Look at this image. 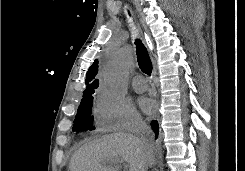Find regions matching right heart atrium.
I'll list each match as a JSON object with an SVG mask.
<instances>
[{
  "instance_id": "d8ad5b80",
  "label": "right heart atrium",
  "mask_w": 245,
  "mask_h": 171,
  "mask_svg": "<svg viewBox=\"0 0 245 171\" xmlns=\"http://www.w3.org/2000/svg\"><path fill=\"white\" fill-rule=\"evenodd\" d=\"M94 115L95 126L100 132H129L144 126L140 114L130 103L106 92L97 95Z\"/></svg>"
}]
</instances>
